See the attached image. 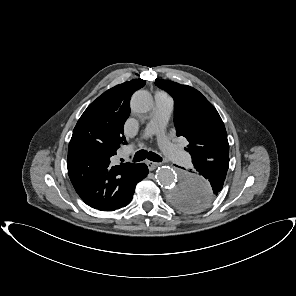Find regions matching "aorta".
<instances>
[{
  "label": "aorta",
  "mask_w": 296,
  "mask_h": 296,
  "mask_svg": "<svg viewBox=\"0 0 296 296\" xmlns=\"http://www.w3.org/2000/svg\"><path fill=\"white\" fill-rule=\"evenodd\" d=\"M154 106L152 96L144 90L135 92L131 108L139 114L149 113ZM156 179L163 187L171 204L190 213L206 210L214 198L211 182L202 174L184 168L163 166L157 170Z\"/></svg>",
  "instance_id": "1"
}]
</instances>
